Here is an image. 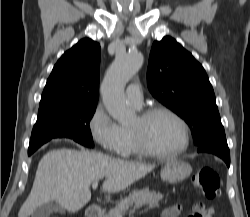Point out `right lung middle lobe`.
Instances as JSON below:
<instances>
[{
	"mask_svg": "<svg viewBox=\"0 0 250 217\" xmlns=\"http://www.w3.org/2000/svg\"><path fill=\"white\" fill-rule=\"evenodd\" d=\"M96 106H74L38 114L31 134L28 155L54 138H70L84 146L93 147L89 123Z\"/></svg>",
	"mask_w": 250,
	"mask_h": 217,
	"instance_id": "right-lung-middle-lobe-1",
	"label": "right lung middle lobe"
}]
</instances>
